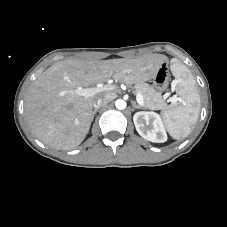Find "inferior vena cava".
<instances>
[{
    "mask_svg": "<svg viewBox=\"0 0 227 227\" xmlns=\"http://www.w3.org/2000/svg\"><path fill=\"white\" fill-rule=\"evenodd\" d=\"M113 98H114L113 94L107 93V94H105L103 97L98 98V99L94 102L93 106H94L95 109H98L99 107H101V106H103V105L109 103L110 101H112Z\"/></svg>",
    "mask_w": 227,
    "mask_h": 227,
    "instance_id": "inferior-vena-cava-1",
    "label": "inferior vena cava"
}]
</instances>
